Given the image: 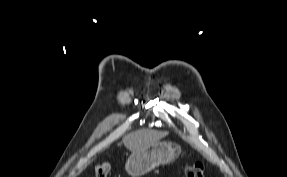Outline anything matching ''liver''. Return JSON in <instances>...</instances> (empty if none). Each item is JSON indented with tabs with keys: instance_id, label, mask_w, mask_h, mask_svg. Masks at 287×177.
Returning <instances> with one entry per match:
<instances>
[{
	"instance_id": "1",
	"label": "liver",
	"mask_w": 287,
	"mask_h": 177,
	"mask_svg": "<svg viewBox=\"0 0 287 177\" xmlns=\"http://www.w3.org/2000/svg\"><path fill=\"white\" fill-rule=\"evenodd\" d=\"M168 135V132L142 129L126 135L122 142L130 151L146 148Z\"/></svg>"
}]
</instances>
